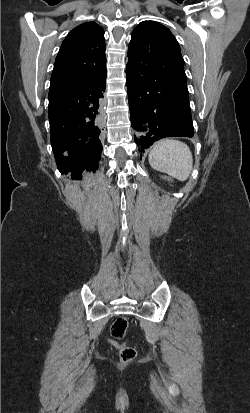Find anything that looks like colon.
<instances>
[{"label": "colon", "instance_id": "obj_1", "mask_svg": "<svg viewBox=\"0 0 250 413\" xmlns=\"http://www.w3.org/2000/svg\"><path fill=\"white\" fill-rule=\"evenodd\" d=\"M163 182H173L174 185L178 184L177 180H174L173 175H163ZM128 328V321L125 317H118L111 326V336L115 341L111 340V343L119 349V357L123 363H129L136 357V350L128 344H118L116 341L124 338Z\"/></svg>", "mask_w": 250, "mask_h": 413}]
</instances>
